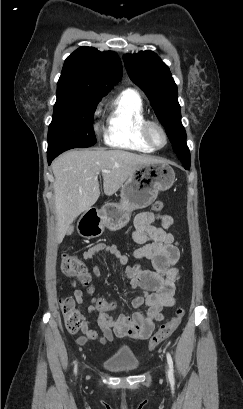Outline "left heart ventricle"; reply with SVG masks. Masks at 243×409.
Masks as SVG:
<instances>
[{
  "label": "left heart ventricle",
  "mask_w": 243,
  "mask_h": 409,
  "mask_svg": "<svg viewBox=\"0 0 243 409\" xmlns=\"http://www.w3.org/2000/svg\"><path fill=\"white\" fill-rule=\"evenodd\" d=\"M152 134H153V138H154L155 142L158 145H162L164 143V136H163L162 132L159 129L153 128Z\"/></svg>",
  "instance_id": "obj_1"
}]
</instances>
